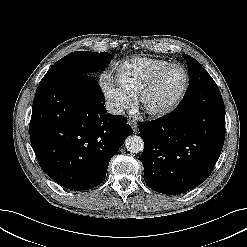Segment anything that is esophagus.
Instances as JSON below:
<instances>
[{
    "instance_id": "1",
    "label": "esophagus",
    "mask_w": 247,
    "mask_h": 247,
    "mask_svg": "<svg viewBox=\"0 0 247 247\" xmlns=\"http://www.w3.org/2000/svg\"><path fill=\"white\" fill-rule=\"evenodd\" d=\"M128 124L132 127L133 131L136 133L138 130V124L135 120L129 119Z\"/></svg>"
}]
</instances>
